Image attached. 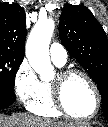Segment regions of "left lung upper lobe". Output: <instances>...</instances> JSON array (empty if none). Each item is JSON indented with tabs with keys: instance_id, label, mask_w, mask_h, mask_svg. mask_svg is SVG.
I'll return each instance as SVG.
<instances>
[{
	"instance_id": "left-lung-upper-lobe-1",
	"label": "left lung upper lobe",
	"mask_w": 108,
	"mask_h": 127,
	"mask_svg": "<svg viewBox=\"0 0 108 127\" xmlns=\"http://www.w3.org/2000/svg\"><path fill=\"white\" fill-rule=\"evenodd\" d=\"M59 34L68 52L97 84L103 114L108 120V40L105 31L87 7L67 4L62 9Z\"/></svg>"
}]
</instances>
